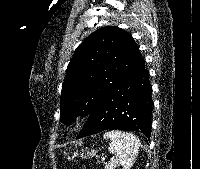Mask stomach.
Wrapping results in <instances>:
<instances>
[{"mask_svg":"<svg viewBox=\"0 0 200 169\" xmlns=\"http://www.w3.org/2000/svg\"><path fill=\"white\" fill-rule=\"evenodd\" d=\"M96 154V151L94 150V149H91L90 151H88L86 154H85V158L86 157H89V156H94ZM73 158V157H72ZM69 159H70V157H69Z\"/></svg>","mask_w":200,"mask_h":169,"instance_id":"obj_1","label":"stomach"}]
</instances>
